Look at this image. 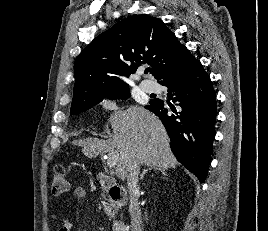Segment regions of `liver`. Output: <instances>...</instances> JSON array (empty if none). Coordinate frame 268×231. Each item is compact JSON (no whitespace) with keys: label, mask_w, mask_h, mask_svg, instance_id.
<instances>
[{"label":"liver","mask_w":268,"mask_h":231,"mask_svg":"<svg viewBox=\"0 0 268 231\" xmlns=\"http://www.w3.org/2000/svg\"><path fill=\"white\" fill-rule=\"evenodd\" d=\"M113 135L107 140L87 138L75 141L83 147L85 155L93 158L99 154L118 156L115 175L124 180L129 166L134 162L163 169L176 168L167 132L157 116L140 106L120 110L110 117Z\"/></svg>","instance_id":"1"}]
</instances>
